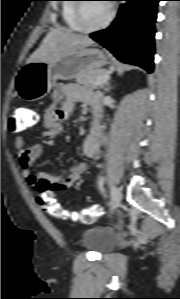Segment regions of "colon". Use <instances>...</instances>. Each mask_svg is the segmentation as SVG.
<instances>
[{"label": "colon", "instance_id": "1", "mask_svg": "<svg viewBox=\"0 0 180 299\" xmlns=\"http://www.w3.org/2000/svg\"><path fill=\"white\" fill-rule=\"evenodd\" d=\"M39 121V115L36 111L28 108H16L12 111L9 119V127L12 132L24 131ZM38 193L40 205L51 216L56 218H71L82 223H91L93 220L103 214L101 205L94 204L78 212H71L62 208L55 200L52 185L39 182L34 187Z\"/></svg>", "mask_w": 180, "mask_h": 299}]
</instances>
